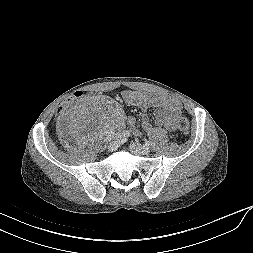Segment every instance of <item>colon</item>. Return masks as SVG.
<instances>
[{"label": "colon", "instance_id": "obj_1", "mask_svg": "<svg viewBox=\"0 0 253 253\" xmlns=\"http://www.w3.org/2000/svg\"><path fill=\"white\" fill-rule=\"evenodd\" d=\"M85 96L93 97L94 96V91L91 90V89H81L77 93L72 94L66 100H64L58 106V111L59 112H64L67 108H69L72 104H74L75 101L80 100L81 98H84ZM177 128L183 134L188 133L189 128H190L189 121L184 117L179 118L178 121H177Z\"/></svg>", "mask_w": 253, "mask_h": 253}]
</instances>
